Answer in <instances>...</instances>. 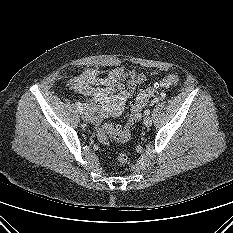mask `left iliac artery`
I'll return each mask as SVG.
<instances>
[{"instance_id": "1", "label": "left iliac artery", "mask_w": 233, "mask_h": 233, "mask_svg": "<svg viewBox=\"0 0 233 233\" xmlns=\"http://www.w3.org/2000/svg\"><path fill=\"white\" fill-rule=\"evenodd\" d=\"M144 113H145V115H149L150 114V110L147 109V110L144 111Z\"/></svg>"}]
</instances>
